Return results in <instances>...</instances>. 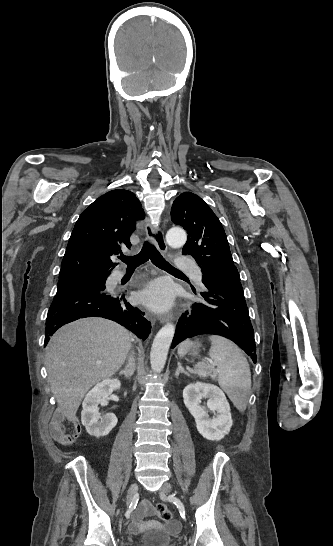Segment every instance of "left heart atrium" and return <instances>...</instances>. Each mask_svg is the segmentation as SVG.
I'll return each instance as SVG.
<instances>
[{"label": "left heart atrium", "mask_w": 333, "mask_h": 546, "mask_svg": "<svg viewBox=\"0 0 333 546\" xmlns=\"http://www.w3.org/2000/svg\"><path fill=\"white\" fill-rule=\"evenodd\" d=\"M140 299L153 309L162 311L172 304L173 290L168 283L155 281L141 292Z\"/></svg>", "instance_id": "obj_1"}]
</instances>
